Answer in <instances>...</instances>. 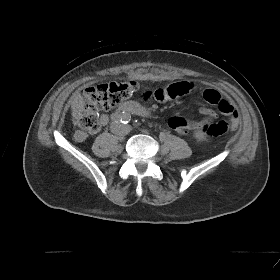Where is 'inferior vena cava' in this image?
Wrapping results in <instances>:
<instances>
[{
  "mask_svg": "<svg viewBox=\"0 0 280 280\" xmlns=\"http://www.w3.org/2000/svg\"><path fill=\"white\" fill-rule=\"evenodd\" d=\"M111 131L116 135H126L128 134L129 130L122 124L112 123L111 124Z\"/></svg>",
  "mask_w": 280,
  "mask_h": 280,
  "instance_id": "obj_1",
  "label": "inferior vena cava"
}]
</instances>
